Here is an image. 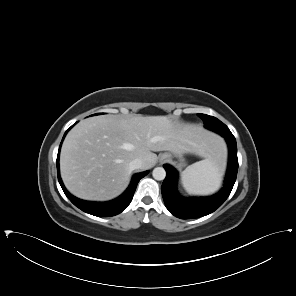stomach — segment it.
Instances as JSON below:
<instances>
[{
  "instance_id": "1",
  "label": "stomach",
  "mask_w": 296,
  "mask_h": 296,
  "mask_svg": "<svg viewBox=\"0 0 296 296\" xmlns=\"http://www.w3.org/2000/svg\"><path fill=\"white\" fill-rule=\"evenodd\" d=\"M176 157H178L179 159V166L182 167L185 165V162H184V158L182 157V155H175Z\"/></svg>"
}]
</instances>
